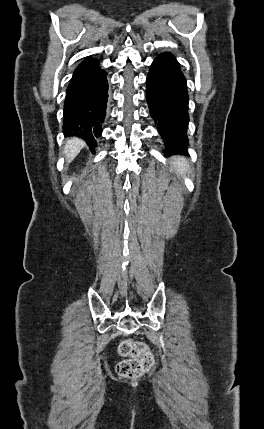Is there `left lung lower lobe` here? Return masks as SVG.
I'll return each mask as SVG.
<instances>
[{
	"mask_svg": "<svg viewBox=\"0 0 264 429\" xmlns=\"http://www.w3.org/2000/svg\"><path fill=\"white\" fill-rule=\"evenodd\" d=\"M150 114L158 122L168 155L186 153L188 93L186 80L175 57L159 55L152 63L146 82Z\"/></svg>",
	"mask_w": 264,
	"mask_h": 429,
	"instance_id": "1",
	"label": "left lung lower lobe"
}]
</instances>
